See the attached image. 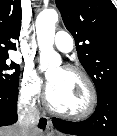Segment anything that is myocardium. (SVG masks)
I'll return each mask as SVG.
<instances>
[{"label":"myocardium","instance_id":"f54148a6","mask_svg":"<svg viewBox=\"0 0 117 136\" xmlns=\"http://www.w3.org/2000/svg\"><path fill=\"white\" fill-rule=\"evenodd\" d=\"M64 70L78 75L84 81L86 88L88 90V94H89L88 105L83 111L78 112V113H69V112H64V111L58 110L50 104L49 91L47 90L46 96H45V102H46L47 109L51 113L58 115L60 117L69 119V120L87 119L95 112L96 107H97V103H98V94H97L95 84L92 81L91 77L88 75V73L85 72L83 69H81L78 66L67 65L64 67Z\"/></svg>","mask_w":117,"mask_h":136}]
</instances>
